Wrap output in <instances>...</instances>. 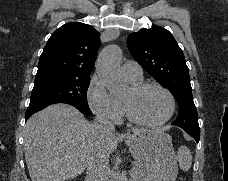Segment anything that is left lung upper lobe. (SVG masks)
Returning a JSON list of instances; mask_svg holds the SVG:
<instances>
[{
  "label": "left lung upper lobe",
  "instance_id": "1",
  "mask_svg": "<svg viewBox=\"0 0 228 181\" xmlns=\"http://www.w3.org/2000/svg\"><path fill=\"white\" fill-rule=\"evenodd\" d=\"M127 45L133 58L175 97L179 114L172 123L182 129H199L189 70L184 54L171 33L159 26L132 33Z\"/></svg>",
  "mask_w": 228,
  "mask_h": 181
}]
</instances>
